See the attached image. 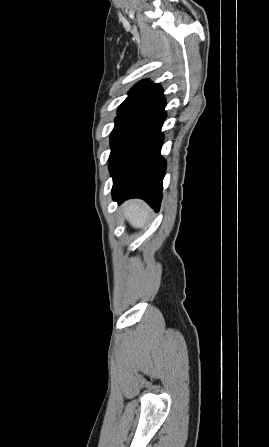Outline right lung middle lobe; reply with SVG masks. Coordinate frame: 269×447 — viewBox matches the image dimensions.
Returning a JSON list of instances; mask_svg holds the SVG:
<instances>
[{
	"label": "right lung middle lobe",
	"mask_w": 269,
	"mask_h": 447,
	"mask_svg": "<svg viewBox=\"0 0 269 447\" xmlns=\"http://www.w3.org/2000/svg\"><path fill=\"white\" fill-rule=\"evenodd\" d=\"M126 114H122V113H118V116L115 119V127L117 126V124L124 118L126 117Z\"/></svg>",
	"instance_id": "obj_1"
}]
</instances>
